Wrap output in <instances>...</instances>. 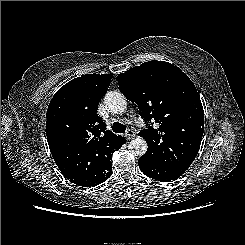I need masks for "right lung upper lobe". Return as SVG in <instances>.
<instances>
[{"label": "right lung upper lobe", "mask_w": 245, "mask_h": 245, "mask_svg": "<svg viewBox=\"0 0 245 245\" xmlns=\"http://www.w3.org/2000/svg\"><path fill=\"white\" fill-rule=\"evenodd\" d=\"M111 77L95 73L77 77L61 87L48 106L46 135L53 159L57 166H73L83 187L99 184L95 151L124 140L106 130L96 112Z\"/></svg>", "instance_id": "cb5924a9"}]
</instances>
